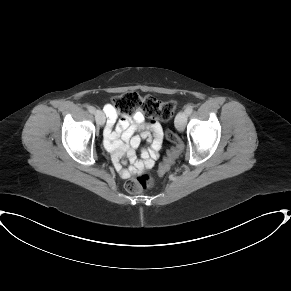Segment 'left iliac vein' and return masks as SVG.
Returning a JSON list of instances; mask_svg holds the SVG:
<instances>
[{"instance_id":"1","label":"left iliac vein","mask_w":291,"mask_h":291,"mask_svg":"<svg viewBox=\"0 0 291 291\" xmlns=\"http://www.w3.org/2000/svg\"><path fill=\"white\" fill-rule=\"evenodd\" d=\"M188 114L184 111H180L175 118V127L179 132L184 131Z\"/></svg>"}]
</instances>
